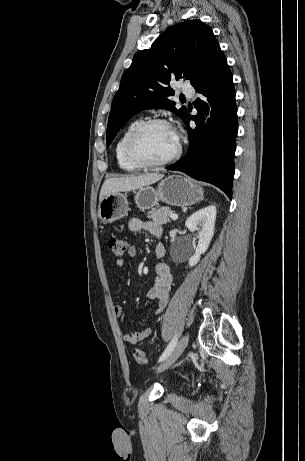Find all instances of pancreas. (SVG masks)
Instances as JSON below:
<instances>
[{
  "instance_id": "cf45deb5",
  "label": "pancreas",
  "mask_w": 305,
  "mask_h": 461,
  "mask_svg": "<svg viewBox=\"0 0 305 461\" xmlns=\"http://www.w3.org/2000/svg\"><path fill=\"white\" fill-rule=\"evenodd\" d=\"M172 213L173 211L170 210L169 208L161 206V207H158L157 209L149 210L147 213V217L149 219H152L153 222H155L156 224L163 225L171 221L169 217Z\"/></svg>"
}]
</instances>
